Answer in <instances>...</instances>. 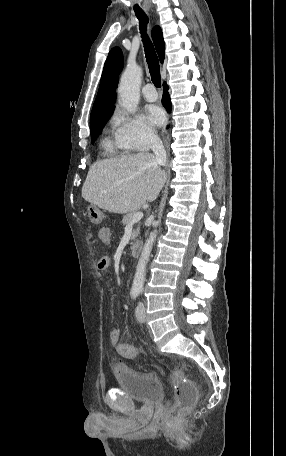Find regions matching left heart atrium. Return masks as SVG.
<instances>
[{
  "label": "left heart atrium",
  "instance_id": "left-heart-atrium-1",
  "mask_svg": "<svg viewBox=\"0 0 286 456\" xmlns=\"http://www.w3.org/2000/svg\"><path fill=\"white\" fill-rule=\"evenodd\" d=\"M146 117L151 125L159 127L165 121V114L161 108L156 105H150L146 108Z\"/></svg>",
  "mask_w": 286,
  "mask_h": 456
}]
</instances>
